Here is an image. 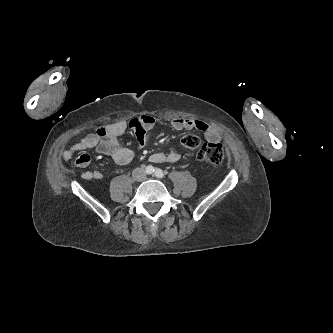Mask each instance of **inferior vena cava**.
<instances>
[{"label": "inferior vena cava", "mask_w": 333, "mask_h": 333, "mask_svg": "<svg viewBox=\"0 0 333 333\" xmlns=\"http://www.w3.org/2000/svg\"><path fill=\"white\" fill-rule=\"evenodd\" d=\"M146 172L143 168H135L132 172V176L137 181H142L146 178Z\"/></svg>", "instance_id": "1"}]
</instances>
